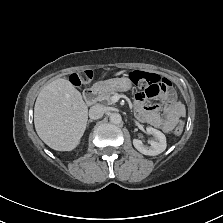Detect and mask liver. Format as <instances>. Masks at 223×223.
Instances as JSON below:
<instances>
[{"label":"liver","instance_id":"6515ba94","mask_svg":"<svg viewBox=\"0 0 223 223\" xmlns=\"http://www.w3.org/2000/svg\"><path fill=\"white\" fill-rule=\"evenodd\" d=\"M87 105L66 79L45 86L35 104L34 121L39 137L51 148L72 150L87 123Z\"/></svg>","mask_w":223,"mask_h":223}]
</instances>
